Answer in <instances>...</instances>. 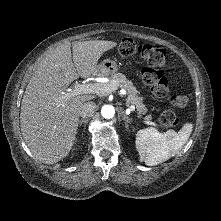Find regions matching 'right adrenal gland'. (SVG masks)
Instances as JSON below:
<instances>
[{
	"label": "right adrenal gland",
	"instance_id": "obj_1",
	"mask_svg": "<svg viewBox=\"0 0 221 221\" xmlns=\"http://www.w3.org/2000/svg\"><path fill=\"white\" fill-rule=\"evenodd\" d=\"M87 119H81L80 121H79V126H81L82 125V123H87Z\"/></svg>",
	"mask_w": 221,
	"mask_h": 221
}]
</instances>
